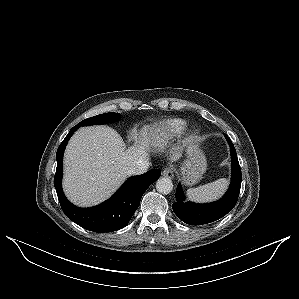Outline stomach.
<instances>
[{
	"mask_svg": "<svg viewBox=\"0 0 299 299\" xmlns=\"http://www.w3.org/2000/svg\"><path fill=\"white\" fill-rule=\"evenodd\" d=\"M207 161L203 152L195 145L188 149L187 160L181 167L182 182L186 186L196 184L206 172Z\"/></svg>",
	"mask_w": 299,
	"mask_h": 299,
	"instance_id": "1",
	"label": "stomach"
}]
</instances>
